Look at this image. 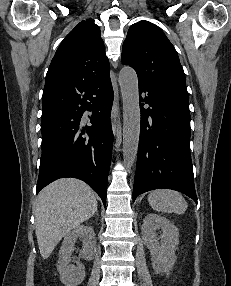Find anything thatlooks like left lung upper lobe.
Returning <instances> with one entry per match:
<instances>
[{"label":"left lung upper lobe","instance_id":"obj_1","mask_svg":"<svg viewBox=\"0 0 231 286\" xmlns=\"http://www.w3.org/2000/svg\"><path fill=\"white\" fill-rule=\"evenodd\" d=\"M122 62L135 69L138 82L188 95L177 52L158 26L144 20L131 25Z\"/></svg>","mask_w":231,"mask_h":286}]
</instances>
